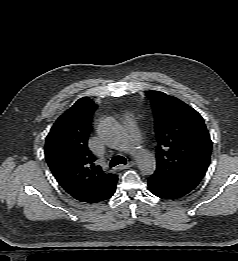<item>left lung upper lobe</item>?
Returning a JSON list of instances; mask_svg holds the SVG:
<instances>
[{"label":"left lung upper lobe","mask_w":238,"mask_h":261,"mask_svg":"<svg viewBox=\"0 0 238 261\" xmlns=\"http://www.w3.org/2000/svg\"><path fill=\"white\" fill-rule=\"evenodd\" d=\"M158 137L154 176L191 192L209 166L212 141L202 116L181 100L149 91Z\"/></svg>","instance_id":"left-lung-upper-lobe-1"}]
</instances>
